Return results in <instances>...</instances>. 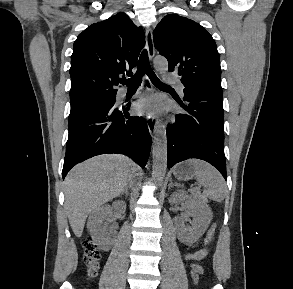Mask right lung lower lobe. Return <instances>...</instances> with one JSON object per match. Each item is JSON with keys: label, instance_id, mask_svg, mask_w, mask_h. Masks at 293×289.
<instances>
[{"label": "right lung lower lobe", "instance_id": "obj_1", "mask_svg": "<svg viewBox=\"0 0 293 289\" xmlns=\"http://www.w3.org/2000/svg\"><path fill=\"white\" fill-rule=\"evenodd\" d=\"M130 104L115 102L69 120V136L62 170L65 178L77 163L99 154L121 153L144 167L151 137L142 117L128 114Z\"/></svg>", "mask_w": 293, "mask_h": 289}]
</instances>
